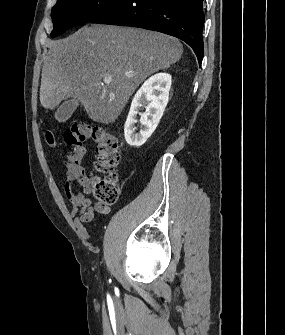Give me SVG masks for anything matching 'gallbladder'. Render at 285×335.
Instances as JSON below:
<instances>
[{"instance_id": "1", "label": "gallbladder", "mask_w": 285, "mask_h": 335, "mask_svg": "<svg viewBox=\"0 0 285 335\" xmlns=\"http://www.w3.org/2000/svg\"><path fill=\"white\" fill-rule=\"evenodd\" d=\"M79 106V102L77 100H67V102H64L60 108H58L55 118L58 120V122H66V120H69L71 118L73 112L77 110Z\"/></svg>"}]
</instances>
